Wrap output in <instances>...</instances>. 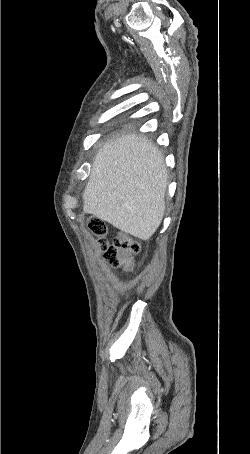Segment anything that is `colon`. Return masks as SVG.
Returning a JSON list of instances; mask_svg holds the SVG:
<instances>
[{"label": "colon", "mask_w": 250, "mask_h": 454, "mask_svg": "<svg viewBox=\"0 0 250 454\" xmlns=\"http://www.w3.org/2000/svg\"><path fill=\"white\" fill-rule=\"evenodd\" d=\"M89 229L98 237L100 248L107 262L113 267H123L125 271H131V258L139 253L140 245L127 234H118L112 244H108L106 224L97 218L91 219Z\"/></svg>", "instance_id": "5ec220e1"}]
</instances>
